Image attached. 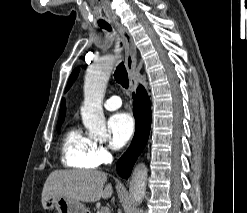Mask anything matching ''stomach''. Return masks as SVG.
<instances>
[{"label":"stomach","mask_w":247,"mask_h":213,"mask_svg":"<svg viewBox=\"0 0 247 213\" xmlns=\"http://www.w3.org/2000/svg\"><path fill=\"white\" fill-rule=\"evenodd\" d=\"M43 207L46 210L55 208L58 213H88V210L80 201L63 196H50L43 203Z\"/></svg>","instance_id":"stomach-1"}]
</instances>
